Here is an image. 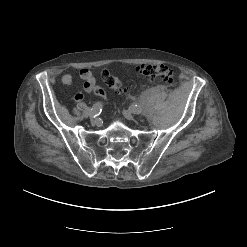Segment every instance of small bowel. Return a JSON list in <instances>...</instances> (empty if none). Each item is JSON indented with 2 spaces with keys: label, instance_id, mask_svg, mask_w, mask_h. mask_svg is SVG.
<instances>
[{
  "label": "small bowel",
  "instance_id": "c3829d8e",
  "mask_svg": "<svg viewBox=\"0 0 247 247\" xmlns=\"http://www.w3.org/2000/svg\"><path fill=\"white\" fill-rule=\"evenodd\" d=\"M78 76L83 81L84 91L87 94L93 93L96 88V79L93 73L88 69H81ZM61 81L64 86L68 87L73 83V77L70 74H65ZM74 98L76 101H82L84 95L82 93H77Z\"/></svg>",
  "mask_w": 247,
  "mask_h": 247
}]
</instances>
